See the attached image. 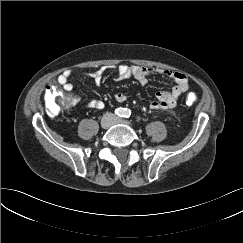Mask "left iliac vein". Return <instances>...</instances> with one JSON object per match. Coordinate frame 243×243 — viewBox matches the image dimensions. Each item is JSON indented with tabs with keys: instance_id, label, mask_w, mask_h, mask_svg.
Here are the masks:
<instances>
[{
	"instance_id": "left-iliac-vein-1",
	"label": "left iliac vein",
	"mask_w": 243,
	"mask_h": 243,
	"mask_svg": "<svg viewBox=\"0 0 243 243\" xmlns=\"http://www.w3.org/2000/svg\"><path fill=\"white\" fill-rule=\"evenodd\" d=\"M127 124V125H130L131 123L129 122V121H127V120H122V119H120V118H115L114 119V124Z\"/></svg>"
}]
</instances>
